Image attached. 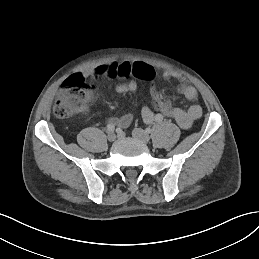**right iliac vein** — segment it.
<instances>
[{"mask_svg": "<svg viewBox=\"0 0 259 259\" xmlns=\"http://www.w3.org/2000/svg\"><path fill=\"white\" fill-rule=\"evenodd\" d=\"M107 139L110 141V142H113L115 139H116V135L114 132H109L108 135H107Z\"/></svg>", "mask_w": 259, "mask_h": 259, "instance_id": "63e3f726", "label": "right iliac vein"}]
</instances>
